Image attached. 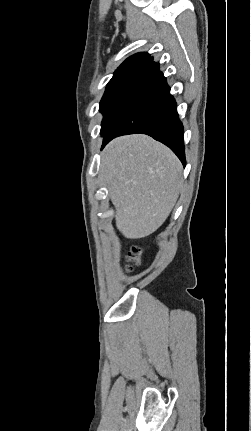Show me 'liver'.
<instances>
[{
	"label": "liver",
	"mask_w": 251,
	"mask_h": 431,
	"mask_svg": "<svg viewBox=\"0 0 251 431\" xmlns=\"http://www.w3.org/2000/svg\"><path fill=\"white\" fill-rule=\"evenodd\" d=\"M100 177L116 210V227L128 239L154 233L183 186L182 165L175 154L140 134L118 137L105 147Z\"/></svg>",
	"instance_id": "6515ba94"
}]
</instances>
